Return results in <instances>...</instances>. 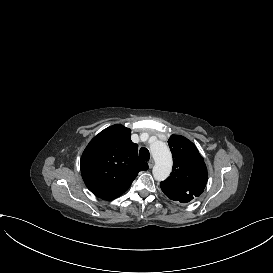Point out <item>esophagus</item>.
Here are the masks:
<instances>
[{"instance_id":"esophagus-1","label":"esophagus","mask_w":273,"mask_h":273,"mask_svg":"<svg viewBox=\"0 0 273 273\" xmlns=\"http://www.w3.org/2000/svg\"><path fill=\"white\" fill-rule=\"evenodd\" d=\"M148 165L150 169L154 166V160L152 158L149 160Z\"/></svg>"}]
</instances>
